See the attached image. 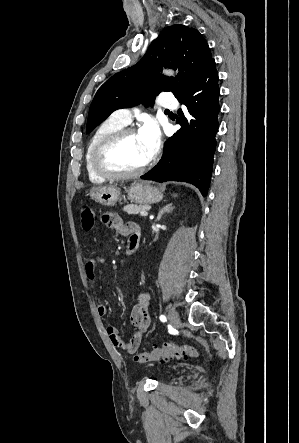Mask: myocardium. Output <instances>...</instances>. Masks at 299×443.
Listing matches in <instances>:
<instances>
[{
    "instance_id": "1",
    "label": "myocardium",
    "mask_w": 299,
    "mask_h": 443,
    "mask_svg": "<svg viewBox=\"0 0 299 443\" xmlns=\"http://www.w3.org/2000/svg\"><path fill=\"white\" fill-rule=\"evenodd\" d=\"M137 131L131 127H123L107 137H105L95 148L93 153V167L95 171L106 179L123 180L129 179L144 173L151 165V159L142 166L130 171H119L111 167L108 161L110 150L119 144L125 137L136 134Z\"/></svg>"
}]
</instances>
